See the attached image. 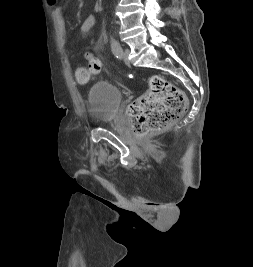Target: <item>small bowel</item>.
I'll use <instances>...</instances> for the list:
<instances>
[{"instance_id":"small-bowel-1","label":"small bowel","mask_w":253,"mask_h":267,"mask_svg":"<svg viewBox=\"0 0 253 267\" xmlns=\"http://www.w3.org/2000/svg\"><path fill=\"white\" fill-rule=\"evenodd\" d=\"M49 4L53 6V15L57 23L58 32L61 44L63 46L67 45V33H66V25L63 17V10L65 6L57 5V0H48ZM95 24V16L89 15L81 25V30L84 35H88L93 29Z\"/></svg>"}]
</instances>
